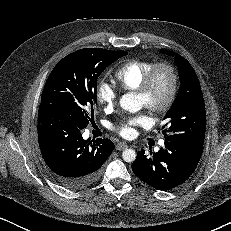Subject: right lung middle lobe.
<instances>
[{"mask_svg":"<svg viewBox=\"0 0 231 231\" xmlns=\"http://www.w3.org/2000/svg\"><path fill=\"white\" fill-rule=\"evenodd\" d=\"M125 51L85 48L61 59L44 86L41 103L68 113L80 129L94 121L97 79L102 71Z\"/></svg>","mask_w":231,"mask_h":231,"instance_id":"1","label":"right lung middle lobe"}]
</instances>
